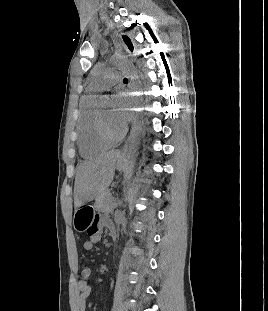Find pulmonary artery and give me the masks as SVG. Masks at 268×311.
<instances>
[{
  "label": "pulmonary artery",
  "instance_id": "obj_1",
  "mask_svg": "<svg viewBox=\"0 0 268 311\" xmlns=\"http://www.w3.org/2000/svg\"><path fill=\"white\" fill-rule=\"evenodd\" d=\"M120 81V72L115 70L105 71L93 80V82L89 86V89L92 92H102Z\"/></svg>",
  "mask_w": 268,
  "mask_h": 311
}]
</instances>
